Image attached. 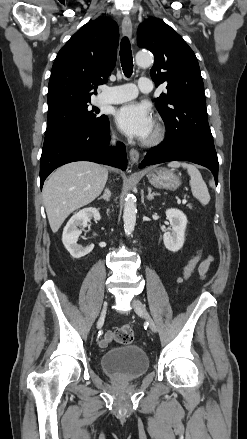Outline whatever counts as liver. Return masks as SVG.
Segmentation results:
<instances>
[{
    "label": "liver",
    "instance_id": "obj_1",
    "mask_svg": "<svg viewBox=\"0 0 247 439\" xmlns=\"http://www.w3.org/2000/svg\"><path fill=\"white\" fill-rule=\"evenodd\" d=\"M107 177L105 166L88 161L68 163L54 171L42 191L51 230L56 233L69 214L95 200Z\"/></svg>",
    "mask_w": 247,
    "mask_h": 439
}]
</instances>
